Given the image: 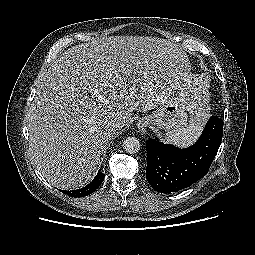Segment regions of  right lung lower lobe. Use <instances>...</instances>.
<instances>
[{"label": "right lung lower lobe", "mask_w": 255, "mask_h": 255, "mask_svg": "<svg viewBox=\"0 0 255 255\" xmlns=\"http://www.w3.org/2000/svg\"><path fill=\"white\" fill-rule=\"evenodd\" d=\"M103 180H104V174L100 170L98 174L96 175V177L94 178V180L91 183H89L87 186L81 189L72 190V191L64 190L63 192L73 197H84L93 193L100 186Z\"/></svg>", "instance_id": "obj_1"}]
</instances>
